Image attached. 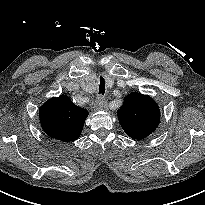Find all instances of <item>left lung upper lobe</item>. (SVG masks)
Returning <instances> with one entry per match:
<instances>
[{
  "label": "left lung upper lobe",
  "mask_w": 205,
  "mask_h": 205,
  "mask_svg": "<svg viewBox=\"0 0 205 205\" xmlns=\"http://www.w3.org/2000/svg\"><path fill=\"white\" fill-rule=\"evenodd\" d=\"M117 114L125 133L137 140L154 132L160 122L158 105L150 96L138 92L126 96Z\"/></svg>",
  "instance_id": "1"
}]
</instances>
